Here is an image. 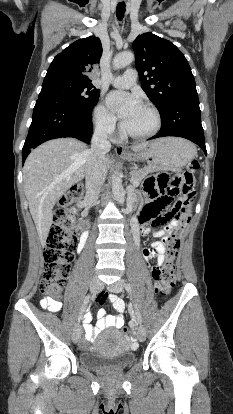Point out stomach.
Here are the masks:
<instances>
[{
    "instance_id": "1",
    "label": "stomach",
    "mask_w": 233,
    "mask_h": 414,
    "mask_svg": "<svg viewBox=\"0 0 233 414\" xmlns=\"http://www.w3.org/2000/svg\"><path fill=\"white\" fill-rule=\"evenodd\" d=\"M196 155L195 146L181 138H162L149 143L141 152L127 153L123 159L145 161L154 171H178Z\"/></svg>"
}]
</instances>
